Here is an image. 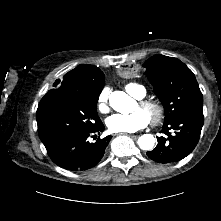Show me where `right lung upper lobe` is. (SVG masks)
<instances>
[{
  "instance_id": "1",
  "label": "right lung upper lobe",
  "mask_w": 221,
  "mask_h": 221,
  "mask_svg": "<svg viewBox=\"0 0 221 221\" xmlns=\"http://www.w3.org/2000/svg\"><path fill=\"white\" fill-rule=\"evenodd\" d=\"M105 77L100 69L93 65L81 64L69 71L64 80H56V89L49 90L46 95H85L92 91L102 90Z\"/></svg>"
}]
</instances>
